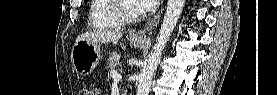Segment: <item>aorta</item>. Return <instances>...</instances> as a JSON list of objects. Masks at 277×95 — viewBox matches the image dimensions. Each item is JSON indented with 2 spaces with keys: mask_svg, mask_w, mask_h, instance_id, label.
<instances>
[{
  "mask_svg": "<svg viewBox=\"0 0 277 95\" xmlns=\"http://www.w3.org/2000/svg\"><path fill=\"white\" fill-rule=\"evenodd\" d=\"M185 0H168L166 12L153 51L146 60L139 75L137 95H149L152 78L160 62L162 52L180 18Z\"/></svg>",
  "mask_w": 277,
  "mask_h": 95,
  "instance_id": "obj_1",
  "label": "aorta"
}]
</instances>
